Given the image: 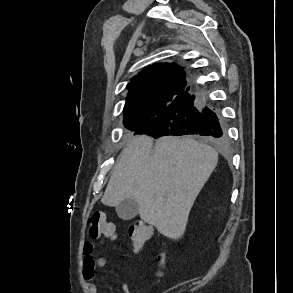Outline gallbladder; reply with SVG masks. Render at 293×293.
<instances>
[{"mask_svg": "<svg viewBox=\"0 0 293 293\" xmlns=\"http://www.w3.org/2000/svg\"><path fill=\"white\" fill-rule=\"evenodd\" d=\"M138 203L131 198L124 199L116 206V213L122 220H131L138 213Z\"/></svg>", "mask_w": 293, "mask_h": 293, "instance_id": "bac80fb5", "label": "gallbladder"}]
</instances>
